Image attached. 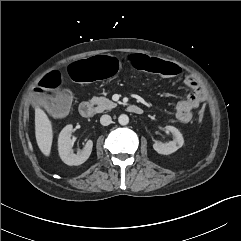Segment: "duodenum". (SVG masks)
Returning a JSON list of instances; mask_svg holds the SVG:
<instances>
[{"mask_svg": "<svg viewBox=\"0 0 241 241\" xmlns=\"http://www.w3.org/2000/svg\"><path fill=\"white\" fill-rule=\"evenodd\" d=\"M128 111L133 113V114H142L143 109L137 105H129L128 106ZM79 113L82 117L84 118H90L94 114V107L93 104L89 101H83L79 105Z\"/></svg>", "mask_w": 241, "mask_h": 241, "instance_id": "1", "label": "duodenum"}]
</instances>
